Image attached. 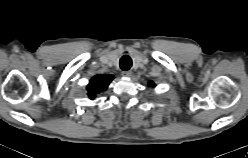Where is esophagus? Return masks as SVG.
<instances>
[{
  "label": "esophagus",
  "mask_w": 248,
  "mask_h": 158,
  "mask_svg": "<svg viewBox=\"0 0 248 158\" xmlns=\"http://www.w3.org/2000/svg\"><path fill=\"white\" fill-rule=\"evenodd\" d=\"M121 75H122L123 77H130V76H132V72H131V71H123V72L121 73Z\"/></svg>",
  "instance_id": "esophagus-1"
}]
</instances>
